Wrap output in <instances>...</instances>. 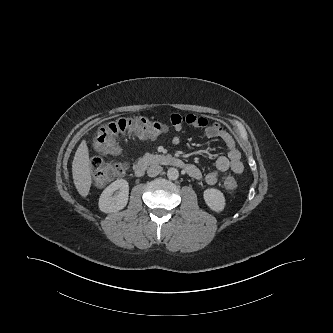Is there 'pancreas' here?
Returning a JSON list of instances; mask_svg holds the SVG:
<instances>
[{
    "label": "pancreas",
    "instance_id": "cf45deb5",
    "mask_svg": "<svg viewBox=\"0 0 333 333\" xmlns=\"http://www.w3.org/2000/svg\"><path fill=\"white\" fill-rule=\"evenodd\" d=\"M158 155H154V154H150V153H146L144 155L145 158H153V157H157Z\"/></svg>",
    "mask_w": 333,
    "mask_h": 333
}]
</instances>
